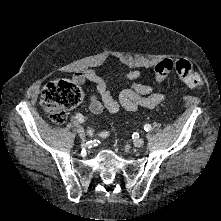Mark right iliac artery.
Returning <instances> with one entry per match:
<instances>
[{"mask_svg":"<svg viewBox=\"0 0 221 221\" xmlns=\"http://www.w3.org/2000/svg\"><path fill=\"white\" fill-rule=\"evenodd\" d=\"M76 119L80 122V123H83L84 122V117L82 114L80 113H77L76 114ZM111 133V130L110 129H107L104 133L102 130H99L98 132L95 133V136L96 137H99L101 139H107L108 138V135Z\"/></svg>","mask_w":221,"mask_h":221,"instance_id":"obj_1","label":"right iliac artery"}]
</instances>
